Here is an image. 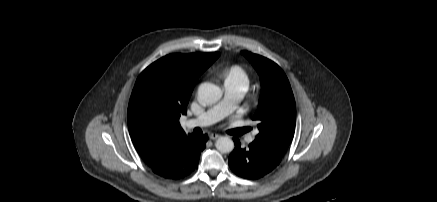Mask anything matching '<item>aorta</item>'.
Returning a JSON list of instances; mask_svg holds the SVG:
<instances>
[{"instance_id":"obj_1","label":"aorta","mask_w":437,"mask_h":202,"mask_svg":"<svg viewBox=\"0 0 437 202\" xmlns=\"http://www.w3.org/2000/svg\"><path fill=\"white\" fill-rule=\"evenodd\" d=\"M222 97V90L210 82L201 83L198 87V98L202 104L212 105ZM216 148L221 153H230L234 149V142L227 136L220 137L216 141Z\"/></svg>"}]
</instances>
